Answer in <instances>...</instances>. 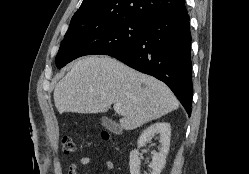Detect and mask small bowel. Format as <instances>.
Listing matches in <instances>:
<instances>
[{"label": "small bowel", "instance_id": "1", "mask_svg": "<svg viewBox=\"0 0 249 174\" xmlns=\"http://www.w3.org/2000/svg\"><path fill=\"white\" fill-rule=\"evenodd\" d=\"M94 160L91 156H84L78 162H73L69 165L68 174H78L79 169L90 164ZM103 165L108 170H113L114 165L110 160H105Z\"/></svg>", "mask_w": 249, "mask_h": 174}]
</instances>
